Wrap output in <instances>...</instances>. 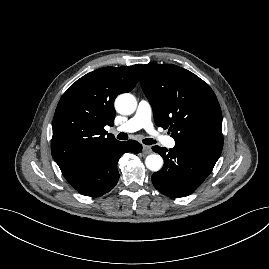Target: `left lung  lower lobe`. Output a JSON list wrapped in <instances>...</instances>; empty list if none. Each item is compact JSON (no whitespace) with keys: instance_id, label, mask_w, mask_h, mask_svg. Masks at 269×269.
Returning a JSON list of instances; mask_svg holds the SVG:
<instances>
[{"instance_id":"obj_1","label":"left lung lower lobe","mask_w":269,"mask_h":269,"mask_svg":"<svg viewBox=\"0 0 269 269\" xmlns=\"http://www.w3.org/2000/svg\"><path fill=\"white\" fill-rule=\"evenodd\" d=\"M164 159L163 168L152 175L154 187L169 197H185L194 192L211 173L222 147L199 143H176L168 150L154 146Z\"/></svg>"}]
</instances>
